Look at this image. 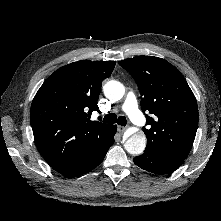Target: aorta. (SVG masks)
<instances>
[{
  "mask_svg": "<svg viewBox=\"0 0 221 221\" xmlns=\"http://www.w3.org/2000/svg\"><path fill=\"white\" fill-rule=\"evenodd\" d=\"M104 95L111 101L120 100L124 93L125 88L122 83L116 80L108 81L103 87ZM125 150L132 155H140L146 147V136L143 132H138L130 136L125 144Z\"/></svg>",
  "mask_w": 221,
  "mask_h": 221,
  "instance_id": "aorta-1",
  "label": "aorta"
}]
</instances>
